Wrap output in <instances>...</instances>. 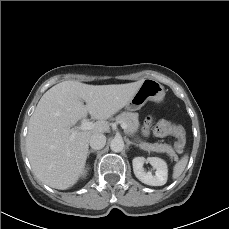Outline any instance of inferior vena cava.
<instances>
[{
	"mask_svg": "<svg viewBox=\"0 0 229 229\" xmlns=\"http://www.w3.org/2000/svg\"><path fill=\"white\" fill-rule=\"evenodd\" d=\"M90 146L94 150L102 149L106 144V137L103 134H93L89 140Z\"/></svg>",
	"mask_w": 229,
	"mask_h": 229,
	"instance_id": "obj_1",
	"label": "inferior vena cava"
}]
</instances>
